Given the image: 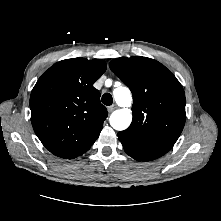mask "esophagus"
Here are the masks:
<instances>
[{
    "mask_svg": "<svg viewBox=\"0 0 221 221\" xmlns=\"http://www.w3.org/2000/svg\"><path fill=\"white\" fill-rule=\"evenodd\" d=\"M117 108V105H111V106H109L108 108H107V110H108V112H113L115 109Z\"/></svg>",
    "mask_w": 221,
    "mask_h": 221,
    "instance_id": "esophagus-1",
    "label": "esophagus"
}]
</instances>
